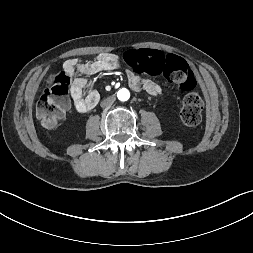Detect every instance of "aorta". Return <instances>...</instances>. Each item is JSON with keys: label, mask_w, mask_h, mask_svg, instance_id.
I'll use <instances>...</instances> for the list:
<instances>
[{"label": "aorta", "mask_w": 253, "mask_h": 253, "mask_svg": "<svg viewBox=\"0 0 253 253\" xmlns=\"http://www.w3.org/2000/svg\"><path fill=\"white\" fill-rule=\"evenodd\" d=\"M117 97L120 101H127L130 97V93L126 88H122L118 91Z\"/></svg>", "instance_id": "obj_1"}]
</instances>
